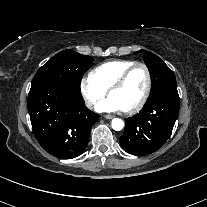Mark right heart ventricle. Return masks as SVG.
<instances>
[{"mask_svg":"<svg viewBox=\"0 0 207 207\" xmlns=\"http://www.w3.org/2000/svg\"><path fill=\"white\" fill-rule=\"evenodd\" d=\"M133 63L135 62L131 60H108L95 67L90 76L100 86L108 90L114 81Z\"/></svg>","mask_w":207,"mask_h":207,"instance_id":"right-heart-ventricle-1","label":"right heart ventricle"}]
</instances>
